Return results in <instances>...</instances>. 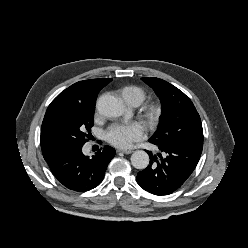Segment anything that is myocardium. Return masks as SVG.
<instances>
[{
  "mask_svg": "<svg viewBox=\"0 0 248 248\" xmlns=\"http://www.w3.org/2000/svg\"><path fill=\"white\" fill-rule=\"evenodd\" d=\"M161 111L159 104L149 103L143 108V117L151 126H155L159 121Z\"/></svg>",
  "mask_w": 248,
  "mask_h": 248,
  "instance_id": "f54148a6",
  "label": "myocardium"
}]
</instances>
